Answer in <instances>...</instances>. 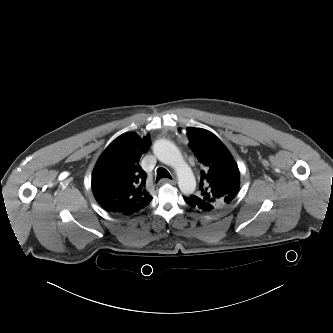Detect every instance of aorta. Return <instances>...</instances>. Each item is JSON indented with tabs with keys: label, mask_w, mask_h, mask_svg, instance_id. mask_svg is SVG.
Segmentation results:
<instances>
[{
	"label": "aorta",
	"mask_w": 333,
	"mask_h": 333,
	"mask_svg": "<svg viewBox=\"0 0 333 333\" xmlns=\"http://www.w3.org/2000/svg\"><path fill=\"white\" fill-rule=\"evenodd\" d=\"M155 156L164 164L176 170L178 186L183 194H192L196 189V180L191 168L186 164L176 145L166 139H160L153 145Z\"/></svg>",
	"instance_id": "1"
}]
</instances>
